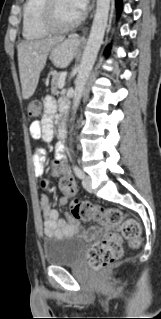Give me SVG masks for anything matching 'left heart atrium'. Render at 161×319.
I'll list each match as a JSON object with an SVG mask.
<instances>
[{
    "instance_id": "left-heart-atrium-1",
    "label": "left heart atrium",
    "mask_w": 161,
    "mask_h": 319,
    "mask_svg": "<svg viewBox=\"0 0 161 319\" xmlns=\"http://www.w3.org/2000/svg\"><path fill=\"white\" fill-rule=\"evenodd\" d=\"M75 7V9L79 12L82 13L83 10L86 8L89 0H70Z\"/></svg>"
}]
</instances>
